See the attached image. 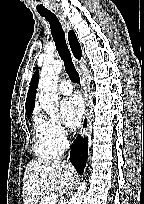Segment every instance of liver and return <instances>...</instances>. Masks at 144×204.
Instances as JSON below:
<instances>
[{"instance_id": "liver-1", "label": "liver", "mask_w": 144, "mask_h": 204, "mask_svg": "<svg viewBox=\"0 0 144 204\" xmlns=\"http://www.w3.org/2000/svg\"><path fill=\"white\" fill-rule=\"evenodd\" d=\"M76 170L63 161L32 159L26 166L23 178V204H38L46 192L66 193L74 185Z\"/></svg>"}]
</instances>
